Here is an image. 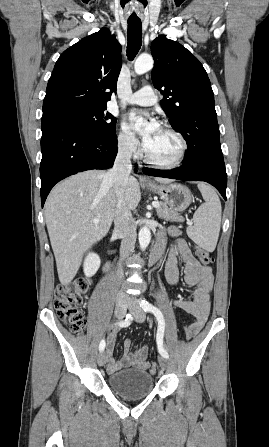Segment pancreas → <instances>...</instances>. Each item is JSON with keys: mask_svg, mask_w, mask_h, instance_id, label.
Here are the masks:
<instances>
[{"mask_svg": "<svg viewBox=\"0 0 269 447\" xmlns=\"http://www.w3.org/2000/svg\"><path fill=\"white\" fill-rule=\"evenodd\" d=\"M160 208H157V216L159 218H162V220H169V222H184V218L180 216V214H177V212H173V210H170L164 202H159Z\"/></svg>", "mask_w": 269, "mask_h": 447, "instance_id": "cf45deb5", "label": "pancreas"}]
</instances>
